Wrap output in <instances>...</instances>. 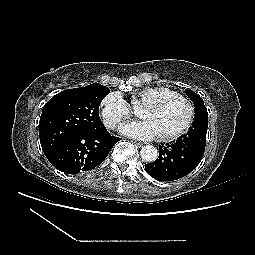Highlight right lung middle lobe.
Returning a JSON list of instances; mask_svg holds the SVG:
<instances>
[{
	"instance_id": "obj_1",
	"label": "right lung middle lobe",
	"mask_w": 255,
	"mask_h": 255,
	"mask_svg": "<svg viewBox=\"0 0 255 255\" xmlns=\"http://www.w3.org/2000/svg\"><path fill=\"white\" fill-rule=\"evenodd\" d=\"M110 89L99 83L62 91L43 107L39 137L45 156L50 155L67 137L79 133H98L105 129L99 105Z\"/></svg>"
}]
</instances>
